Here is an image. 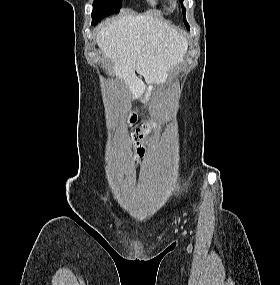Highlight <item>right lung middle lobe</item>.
<instances>
[{"mask_svg": "<svg viewBox=\"0 0 280 285\" xmlns=\"http://www.w3.org/2000/svg\"><path fill=\"white\" fill-rule=\"evenodd\" d=\"M121 8V0H95L91 14L92 25L97 24L103 18L118 13Z\"/></svg>", "mask_w": 280, "mask_h": 285, "instance_id": "obj_1", "label": "right lung middle lobe"}]
</instances>
